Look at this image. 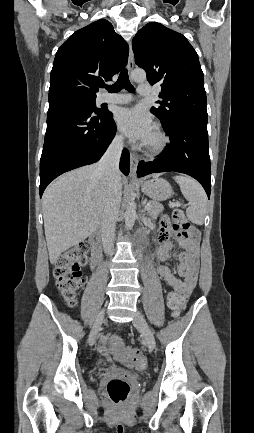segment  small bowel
Instances as JSON below:
<instances>
[{
  "label": "small bowel",
  "instance_id": "1",
  "mask_svg": "<svg viewBox=\"0 0 254 433\" xmlns=\"http://www.w3.org/2000/svg\"><path fill=\"white\" fill-rule=\"evenodd\" d=\"M173 233L174 231L170 228L167 221L164 220L160 227L158 237L159 247L157 250V257L163 264L157 268V272L165 280L166 284L180 295L185 304L197 281L198 234L193 237L184 232L176 233V242L173 244L170 241ZM174 246L182 249L178 254L180 264L177 268L178 273L183 277L182 280L178 279L171 271L170 252ZM107 342V338H102L98 345L99 352L106 357H108ZM131 350L138 352L137 349L131 348Z\"/></svg>",
  "mask_w": 254,
  "mask_h": 433
}]
</instances>
